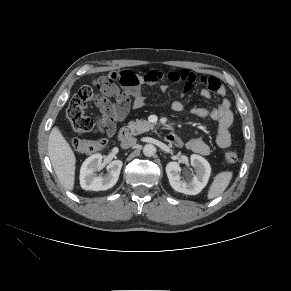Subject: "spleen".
Wrapping results in <instances>:
<instances>
[{
  "label": "spleen",
  "mask_w": 291,
  "mask_h": 291,
  "mask_svg": "<svg viewBox=\"0 0 291 291\" xmlns=\"http://www.w3.org/2000/svg\"><path fill=\"white\" fill-rule=\"evenodd\" d=\"M232 179V172L224 171L217 174L212 182V185L208 191V199H214L220 196L228 187Z\"/></svg>",
  "instance_id": "obj_1"
}]
</instances>
